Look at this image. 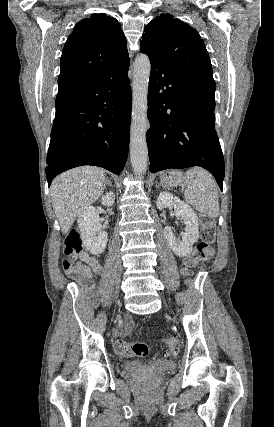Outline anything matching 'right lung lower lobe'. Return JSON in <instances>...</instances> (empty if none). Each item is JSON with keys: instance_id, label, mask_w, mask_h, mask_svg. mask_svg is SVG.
I'll use <instances>...</instances> for the list:
<instances>
[{"instance_id": "right-lung-lower-lobe-1", "label": "right lung lower lobe", "mask_w": 274, "mask_h": 427, "mask_svg": "<svg viewBox=\"0 0 274 427\" xmlns=\"http://www.w3.org/2000/svg\"><path fill=\"white\" fill-rule=\"evenodd\" d=\"M129 65L82 90L56 98L48 149V186L59 173L82 165L123 170L130 139Z\"/></svg>"}]
</instances>
